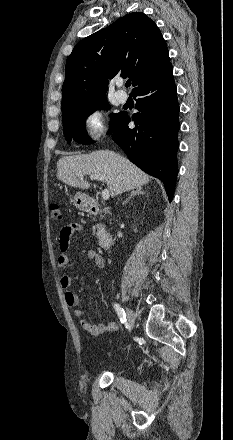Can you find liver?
I'll return each mask as SVG.
<instances>
[{
    "mask_svg": "<svg viewBox=\"0 0 233 440\" xmlns=\"http://www.w3.org/2000/svg\"><path fill=\"white\" fill-rule=\"evenodd\" d=\"M84 175L103 176L113 197L150 181V177L127 158L109 150L64 156L57 162V178L71 187L89 189L91 184L83 179Z\"/></svg>",
    "mask_w": 233,
    "mask_h": 440,
    "instance_id": "liver-1",
    "label": "liver"
}]
</instances>
